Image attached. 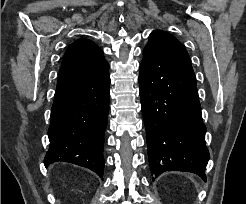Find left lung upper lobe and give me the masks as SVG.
<instances>
[{"label": "left lung upper lobe", "instance_id": "5c2ea615", "mask_svg": "<svg viewBox=\"0 0 246 204\" xmlns=\"http://www.w3.org/2000/svg\"><path fill=\"white\" fill-rule=\"evenodd\" d=\"M145 48L153 49L166 57L191 64L184 46L174 36L164 31H154L149 36V42Z\"/></svg>", "mask_w": 246, "mask_h": 204}]
</instances>
